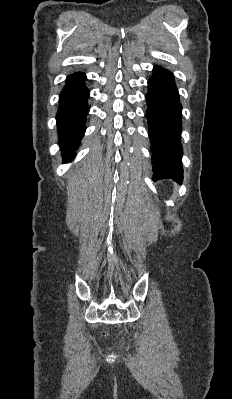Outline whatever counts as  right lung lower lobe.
<instances>
[{
    "instance_id": "98d812e1",
    "label": "right lung lower lobe",
    "mask_w": 232,
    "mask_h": 399,
    "mask_svg": "<svg viewBox=\"0 0 232 399\" xmlns=\"http://www.w3.org/2000/svg\"><path fill=\"white\" fill-rule=\"evenodd\" d=\"M85 80L84 73L71 74L67 77L66 86L59 97L60 105L56 120L59 143L66 162L75 156L74 151L78 148L86 128L89 90L85 86Z\"/></svg>"
}]
</instances>
